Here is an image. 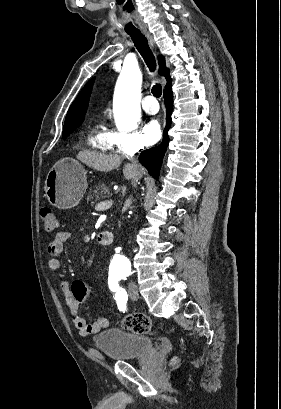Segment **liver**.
<instances>
[{
  "label": "liver",
  "instance_id": "liver-1",
  "mask_svg": "<svg viewBox=\"0 0 281 409\" xmlns=\"http://www.w3.org/2000/svg\"><path fill=\"white\" fill-rule=\"evenodd\" d=\"M78 160L90 166V168H95V170H103V172H108V170H113L120 166L122 156L118 154H104V152H97V150H80L77 154ZM123 174L127 180L133 178L135 174L134 164H124Z\"/></svg>",
  "mask_w": 281,
  "mask_h": 409
}]
</instances>
